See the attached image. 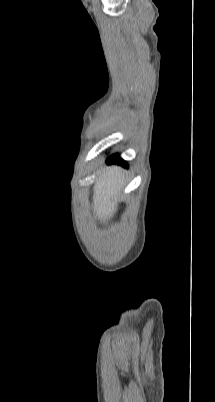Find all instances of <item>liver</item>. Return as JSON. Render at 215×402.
<instances>
[{
	"instance_id": "1",
	"label": "liver",
	"mask_w": 215,
	"mask_h": 402,
	"mask_svg": "<svg viewBox=\"0 0 215 402\" xmlns=\"http://www.w3.org/2000/svg\"><path fill=\"white\" fill-rule=\"evenodd\" d=\"M125 186L122 169L117 166L109 168L95 182L93 188V209L100 221L110 220L118 209L115 197Z\"/></svg>"
}]
</instances>
